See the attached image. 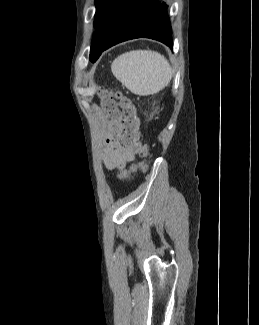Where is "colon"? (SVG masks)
I'll use <instances>...</instances> for the list:
<instances>
[{
  "instance_id": "colon-1",
  "label": "colon",
  "mask_w": 259,
  "mask_h": 325,
  "mask_svg": "<svg viewBox=\"0 0 259 325\" xmlns=\"http://www.w3.org/2000/svg\"><path fill=\"white\" fill-rule=\"evenodd\" d=\"M102 107L110 115L111 119V122H107V129H120L121 124L123 144L136 154L149 157L148 148L141 142L140 121L134 102L121 93H116L112 96L104 97L102 99ZM146 167V163L133 166L129 170H123L119 177L124 178L129 173L137 169L144 170Z\"/></svg>"
}]
</instances>
